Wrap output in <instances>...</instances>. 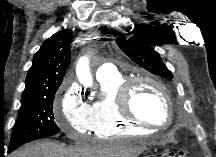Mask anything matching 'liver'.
Listing matches in <instances>:
<instances>
[{
  "instance_id": "liver-1",
  "label": "liver",
  "mask_w": 216,
  "mask_h": 157,
  "mask_svg": "<svg viewBox=\"0 0 216 157\" xmlns=\"http://www.w3.org/2000/svg\"><path fill=\"white\" fill-rule=\"evenodd\" d=\"M143 150L123 142L65 147L57 142L42 141L13 152L11 157H137Z\"/></svg>"
}]
</instances>
